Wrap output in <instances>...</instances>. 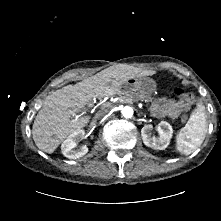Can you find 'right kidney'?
I'll use <instances>...</instances> for the list:
<instances>
[{"label": "right kidney", "mask_w": 221, "mask_h": 221, "mask_svg": "<svg viewBox=\"0 0 221 221\" xmlns=\"http://www.w3.org/2000/svg\"><path fill=\"white\" fill-rule=\"evenodd\" d=\"M84 135V130H78L70 134L61 145L62 154L69 159H77L84 156L88 152L87 146L77 147V143L84 138Z\"/></svg>", "instance_id": "obj_1"}]
</instances>
